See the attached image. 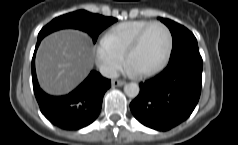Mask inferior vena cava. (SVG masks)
Masks as SVG:
<instances>
[{"label":"inferior vena cava","instance_id":"inferior-vena-cava-1","mask_svg":"<svg viewBox=\"0 0 238 145\" xmlns=\"http://www.w3.org/2000/svg\"><path fill=\"white\" fill-rule=\"evenodd\" d=\"M99 70H100L101 75L106 78H117L118 77V72L113 67L102 65V66H100Z\"/></svg>","mask_w":238,"mask_h":145}]
</instances>
